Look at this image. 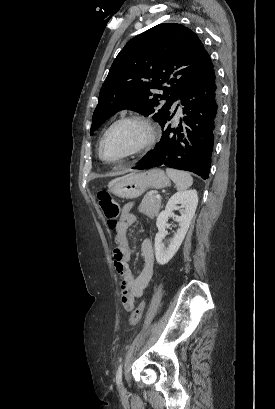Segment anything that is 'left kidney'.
Returning a JSON list of instances; mask_svg holds the SVG:
<instances>
[{
    "instance_id": "1",
    "label": "left kidney",
    "mask_w": 275,
    "mask_h": 409,
    "mask_svg": "<svg viewBox=\"0 0 275 409\" xmlns=\"http://www.w3.org/2000/svg\"><path fill=\"white\" fill-rule=\"evenodd\" d=\"M197 202V190H182V192H176V194H173V196L169 198L165 211H162V213L158 215L156 221L158 233L155 237V255L159 265H166V263L174 257L175 253H177L195 215ZM177 205H181V217L175 219V221L179 223L180 229H177V233H175L166 249L162 241L164 237H166L165 229L168 217H175L172 211H174Z\"/></svg>"
}]
</instances>
